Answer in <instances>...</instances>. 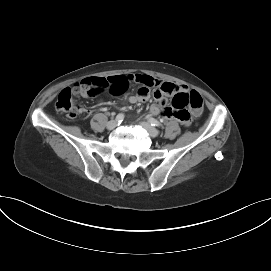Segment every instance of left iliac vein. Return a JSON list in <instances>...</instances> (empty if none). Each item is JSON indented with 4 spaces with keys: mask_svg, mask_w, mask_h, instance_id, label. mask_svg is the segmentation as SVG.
I'll return each instance as SVG.
<instances>
[{
    "mask_svg": "<svg viewBox=\"0 0 271 271\" xmlns=\"http://www.w3.org/2000/svg\"><path fill=\"white\" fill-rule=\"evenodd\" d=\"M140 125L148 132L151 137L155 138L159 135V131L156 128L152 127L149 123L140 122Z\"/></svg>",
    "mask_w": 271,
    "mask_h": 271,
    "instance_id": "1",
    "label": "left iliac vein"
}]
</instances>
